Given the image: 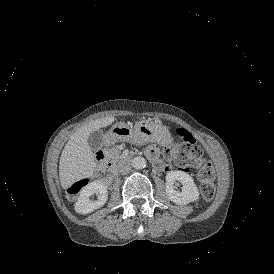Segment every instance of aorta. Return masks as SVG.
I'll use <instances>...</instances> for the list:
<instances>
[{
	"label": "aorta",
	"mask_w": 274,
	"mask_h": 274,
	"mask_svg": "<svg viewBox=\"0 0 274 274\" xmlns=\"http://www.w3.org/2000/svg\"><path fill=\"white\" fill-rule=\"evenodd\" d=\"M131 165L132 167H134L135 169H143L146 166V160L143 157H134L131 161Z\"/></svg>",
	"instance_id": "1"
}]
</instances>
